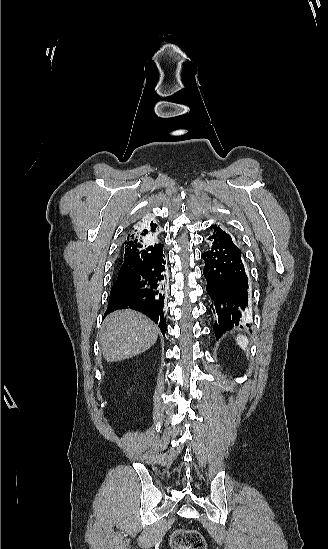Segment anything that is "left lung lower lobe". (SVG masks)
I'll return each mask as SVG.
<instances>
[{"label": "left lung lower lobe", "mask_w": 328, "mask_h": 549, "mask_svg": "<svg viewBox=\"0 0 328 549\" xmlns=\"http://www.w3.org/2000/svg\"><path fill=\"white\" fill-rule=\"evenodd\" d=\"M207 240L209 247L202 253L205 261L203 274L207 280V293L212 300L211 307L217 318L213 329L218 339L234 325L248 320L250 291L241 250L214 235Z\"/></svg>", "instance_id": "1"}]
</instances>
